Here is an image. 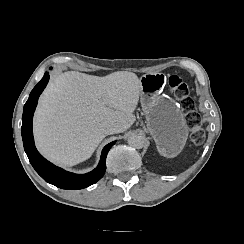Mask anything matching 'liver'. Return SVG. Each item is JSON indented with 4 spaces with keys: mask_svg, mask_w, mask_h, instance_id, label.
<instances>
[{
    "mask_svg": "<svg viewBox=\"0 0 244 244\" xmlns=\"http://www.w3.org/2000/svg\"><path fill=\"white\" fill-rule=\"evenodd\" d=\"M140 80L133 72L104 77L68 71L58 75L40 97L33 119L36 147L49 161L71 167L91 157L105 138L107 123L117 133L136 120Z\"/></svg>",
    "mask_w": 244,
    "mask_h": 244,
    "instance_id": "1",
    "label": "liver"
}]
</instances>
